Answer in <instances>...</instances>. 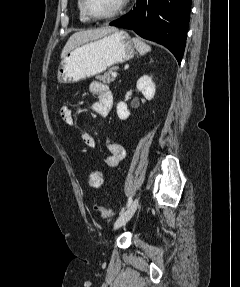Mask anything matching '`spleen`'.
Wrapping results in <instances>:
<instances>
[{
  "label": "spleen",
  "instance_id": "1",
  "mask_svg": "<svg viewBox=\"0 0 240 287\" xmlns=\"http://www.w3.org/2000/svg\"><path fill=\"white\" fill-rule=\"evenodd\" d=\"M132 41L140 55H145L146 53L151 51V47L141 41L139 38L135 37L132 39Z\"/></svg>",
  "mask_w": 240,
  "mask_h": 287
}]
</instances>
